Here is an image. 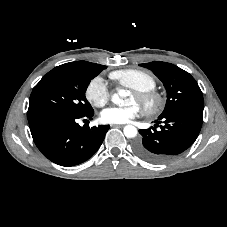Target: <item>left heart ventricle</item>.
Instances as JSON below:
<instances>
[{"label": "left heart ventricle", "mask_w": 227, "mask_h": 227, "mask_svg": "<svg viewBox=\"0 0 227 227\" xmlns=\"http://www.w3.org/2000/svg\"><path fill=\"white\" fill-rule=\"evenodd\" d=\"M129 103L130 104H134V103H137V100L134 96H131L130 99H129Z\"/></svg>", "instance_id": "obj_1"}]
</instances>
